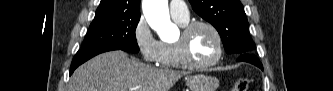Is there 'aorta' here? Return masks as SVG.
Wrapping results in <instances>:
<instances>
[{"instance_id": "762f6f07", "label": "aorta", "mask_w": 333, "mask_h": 91, "mask_svg": "<svg viewBox=\"0 0 333 91\" xmlns=\"http://www.w3.org/2000/svg\"><path fill=\"white\" fill-rule=\"evenodd\" d=\"M143 14L160 39L168 40L176 32L177 27L170 20L167 0H144Z\"/></svg>"}]
</instances>
